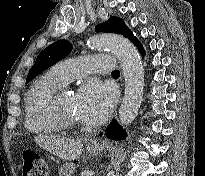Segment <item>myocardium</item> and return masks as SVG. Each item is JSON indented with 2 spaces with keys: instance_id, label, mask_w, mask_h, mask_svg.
I'll use <instances>...</instances> for the list:
<instances>
[{
  "instance_id": "obj_1",
  "label": "myocardium",
  "mask_w": 205,
  "mask_h": 176,
  "mask_svg": "<svg viewBox=\"0 0 205 176\" xmlns=\"http://www.w3.org/2000/svg\"><path fill=\"white\" fill-rule=\"evenodd\" d=\"M65 93H67V91L62 88L53 94L50 99V113L53 119L57 122L59 129L80 127V122L67 116L62 110L61 99Z\"/></svg>"
}]
</instances>
